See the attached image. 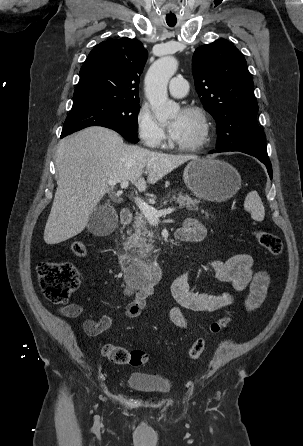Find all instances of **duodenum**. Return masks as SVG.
<instances>
[{"label":"duodenum","mask_w":303,"mask_h":446,"mask_svg":"<svg viewBox=\"0 0 303 446\" xmlns=\"http://www.w3.org/2000/svg\"><path fill=\"white\" fill-rule=\"evenodd\" d=\"M133 218L129 209H123L120 213V221L123 225H128ZM178 239L184 240L181 234H177ZM119 263L125 272L126 281L131 288H141L153 285L163 272V266L158 260L144 261L128 255H122Z\"/></svg>","instance_id":"duodenum-1"}]
</instances>
